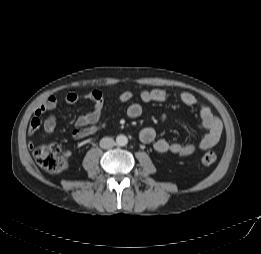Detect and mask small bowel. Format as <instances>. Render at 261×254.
<instances>
[{
	"label": "small bowel",
	"mask_w": 261,
	"mask_h": 254,
	"mask_svg": "<svg viewBox=\"0 0 261 254\" xmlns=\"http://www.w3.org/2000/svg\"><path fill=\"white\" fill-rule=\"evenodd\" d=\"M142 103L157 102L165 103L168 101V94L161 89L143 90L139 94ZM119 103H129L133 99L131 91H123L117 96ZM179 101L185 106L194 109L199 114L202 127L205 131L204 136L197 144H181L171 142L164 138H157L156 131L152 127H144L141 129L139 138L145 144H152L156 152L161 154L171 153L188 157L193 155L197 150H207L215 146L222 133V125L219 119L212 111L203 105L192 93L183 91L178 94ZM81 100H89L94 106L91 112L79 116L72 129V136L80 139L89 135H94L101 131L105 126L102 117L105 109V97L99 90H92L87 93L78 94L70 92L58 98L56 96L47 97L34 111L33 117L28 128V135L32 137L40 128L46 133H53L56 129L57 118L55 115L48 116L44 121L43 114L56 109L61 102L66 104H75ZM143 112L140 102H132L126 109L127 116L130 118H138ZM29 147H33V143L29 142Z\"/></svg>",
	"instance_id": "c3829d8e"
}]
</instances>
